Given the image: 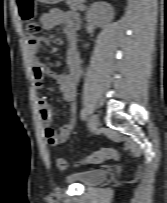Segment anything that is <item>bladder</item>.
Wrapping results in <instances>:
<instances>
[{
    "mask_svg": "<svg viewBox=\"0 0 167 203\" xmlns=\"http://www.w3.org/2000/svg\"><path fill=\"white\" fill-rule=\"evenodd\" d=\"M109 173L105 169L90 168L70 173L66 180L70 182H79L84 186H91L107 180Z\"/></svg>",
    "mask_w": 167,
    "mask_h": 203,
    "instance_id": "1",
    "label": "bladder"
}]
</instances>
